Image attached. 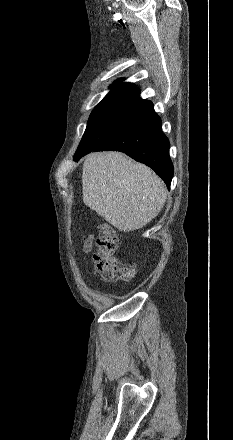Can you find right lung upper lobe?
Instances as JSON below:
<instances>
[{"instance_id": "obj_1", "label": "right lung upper lobe", "mask_w": 233, "mask_h": 440, "mask_svg": "<svg viewBox=\"0 0 233 440\" xmlns=\"http://www.w3.org/2000/svg\"><path fill=\"white\" fill-rule=\"evenodd\" d=\"M123 79L114 82L113 88L100 103L127 105L140 96V90L131 83H122Z\"/></svg>"}]
</instances>
